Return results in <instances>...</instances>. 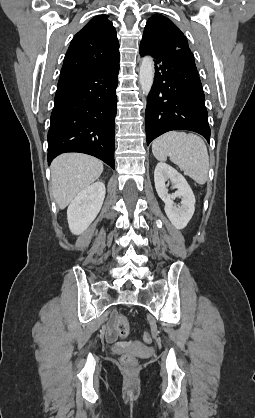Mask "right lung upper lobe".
<instances>
[{
    "label": "right lung upper lobe",
    "instance_id": "obj_1",
    "mask_svg": "<svg viewBox=\"0 0 255 418\" xmlns=\"http://www.w3.org/2000/svg\"><path fill=\"white\" fill-rule=\"evenodd\" d=\"M119 60V42L106 15L91 19L72 39L61 74L112 64Z\"/></svg>",
    "mask_w": 255,
    "mask_h": 418
}]
</instances>
